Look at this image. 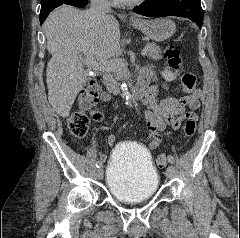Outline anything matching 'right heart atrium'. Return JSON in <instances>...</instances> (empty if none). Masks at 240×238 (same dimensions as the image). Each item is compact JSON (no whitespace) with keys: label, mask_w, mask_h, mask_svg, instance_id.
<instances>
[{"label":"right heart atrium","mask_w":240,"mask_h":238,"mask_svg":"<svg viewBox=\"0 0 240 238\" xmlns=\"http://www.w3.org/2000/svg\"><path fill=\"white\" fill-rule=\"evenodd\" d=\"M107 1H111L112 2V1H116V0H107Z\"/></svg>","instance_id":"obj_1"}]
</instances>
